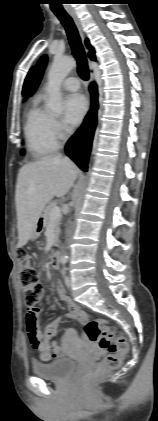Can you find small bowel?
<instances>
[{
	"label": "small bowel",
	"instance_id": "1",
	"mask_svg": "<svg viewBox=\"0 0 158 421\" xmlns=\"http://www.w3.org/2000/svg\"><path fill=\"white\" fill-rule=\"evenodd\" d=\"M54 288L57 297L68 309L67 318L82 323V315L84 313L80 310L78 305L67 296L63 284L58 281L55 283ZM59 325L60 321L54 320L48 323L44 330L41 331L37 324L35 312L29 310L27 314V331L32 346L38 350L47 348L55 357H60L63 353V347L59 343L51 341L52 337L57 334ZM76 341H78L77 332L71 328L67 329L62 336V343L66 345Z\"/></svg>",
	"mask_w": 158,
	"mask_h": 421
}]
</instances>
